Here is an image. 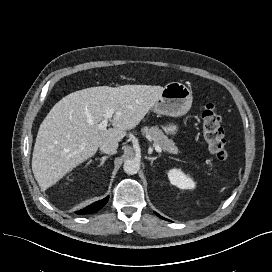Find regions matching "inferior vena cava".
<instances>
[{"instance_id": "602c4592", "label": "inferior vena cava", "mask_w": 272, "mask_h": 272, "mask_svg": "<svg viewBox=\"0 0 272 272\" xmlns=\"http://www.w3.org/2000/svg\"><path fill=\"white\" fill-rule=\"evenodd\" d=\"M118 148L117 143H112V142H106L100 146L101 152L105 154H116Z\"/></svg>"}]
</instances>
